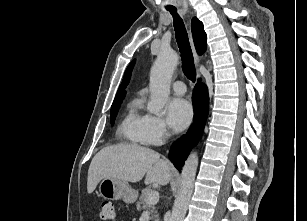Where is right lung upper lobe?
Here are the masks:
<instances>
[{"instance_id": "cb5924a9", "label": "right lung upper lobe", "mask_w": 307, "mask_h": 221, "mask_svg": "<svg viewBox=\"0 0 307 221\" xmlns=\"http://www.w3.org/2000/svg\"><path fill=\"white\" fill-rule=\"evenodd\" d=\"M192 34H193V39H194V44L196 47V50L199 55L203 54L207 48V43H206V33L203 29V24L201 21H199L196 17L192 19ZM135 60L130 63L128 68L125 71V75L123 78V81L121 85L119 86L117 95L115 96L114 102L122 101L124 96H125V91L124 89L129 83L132 68L134 66ZM113 102V103H114Z\"/></svg>"}]
</instances>
